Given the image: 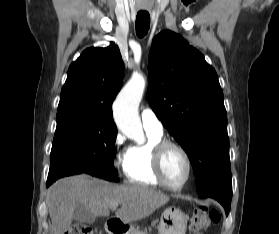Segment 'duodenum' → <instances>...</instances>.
Here are the masks:
<instances>
[{
  "mask_svg": "<svg viewBox=\"0 0 279 234\" xmlns=\"http://www.w3.org/2000/svg\"><path fill=\"white\" fill-rule=\"evenodd\" d=\"M107 230L110 234H123V226L119 220L109 219L107 222Z\"/></svg>",
  "mask_w": 279,
  "mask_h": 234,
  "instance_id": "obj_1",
  "label": "duodenum"
}]
</instances>
